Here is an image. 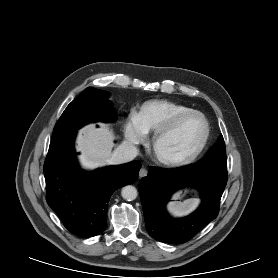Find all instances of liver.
<instances>
[{"mask_svg":"<svg viewBox=\"0 0 278 278\" xmlns=\"http://www.w3.org/2000/svg\"><path fill=\"white\" fill-rule=\"evenodd\" d=\"M115 136L105 124L96 128L94 124L85 126L79 131L77 150L80 151L79 161L86 170L110 163Z\"/></svg>","mask_w":278,"mask_h":278,"instance_id":"liver-1","label":"liver"}]
</instances>
